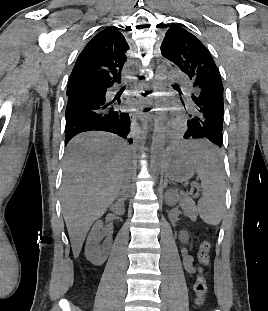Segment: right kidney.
<instances>
[{
    "mask_svg": "<svg viewBox=\"0 0 268 311\" xmlns=\"http://www.w3.org/2000/svg\"><path fill=\"white\" fill-rule=\"evenodd\" d=\"M112 210L117 214H122L123 208L121 202L118 201L115 205H113ZM102 228L103 223L101 221H97L88 235L85 246V256L87 260L95 266H100L106 261L111 245V240L106 239L100 246V241L105 236Z\"/></svg>",
    "mask_w": 268,
    "mask_h": 311,
    "instance_id": "right-kidney-1",
    "label": "right kidney"
}]
</instances>
